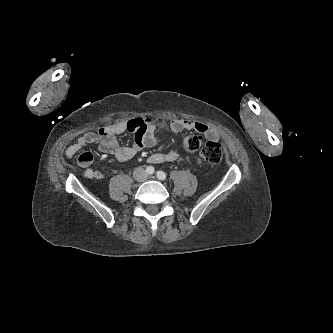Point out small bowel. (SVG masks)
<instances>
[{
	"mask_svg": "<svg viewBox=\"0 0 333 333\" xmlns=\"http://www.w3.org/2000/svg\"><path fill=\"white\" fill-rule=\"evenodd\" d=\"M165 128L176 133L195 130L212 142H216L219 138L215 129L199 121L176 118L165 123L150 117L133 118L102 127L97 132H86L66 149L65 156L73 158L84 148L97 145L101 152L113 155L120 162H126L132 159L138 150L157 145L161 140L157 136V131ZM126 131L134 134L133 146H123L118 143L117 136ZM178 158L179 154L176 151H170L166 154L155 153L149 157V161L157 164L176 161ZM92 161V153L83 152L79 154L77 163L86 169L84 172L86 178L100 180L103 178V173L89 168Z\"/></svg>",
	"mask_w": 333,
	"mask_h": 333,
	"instance_id": "c3829d8e",
	"label": "small bowel"
}]
</instances>
